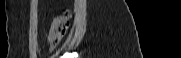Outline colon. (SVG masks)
I'll use <instances>...</instances> for the list:
<instances>
[{
	"instance_id": "colon-1",
	"label": "colon",
	"mask_w": 181,
	"mask_h": 58,
	"mask_svg": "<svg viewBox=\"0 0 181 58\" xmlns=\"http://www.w3.org/2000/svg\"><path fill=\"white\" fill-rule=\"evenodd\" d=\"M68 28H69V17L67 15H61L56 17L53 21L49 37L51 45L53 46L58 45L62 40V38L67 33Z\"/></svg>"
}]
</instances>
